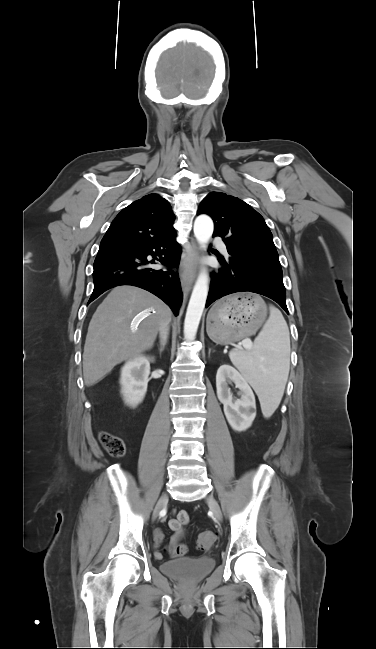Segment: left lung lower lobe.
I'll list each match as a JSON object with an SVG mask.
<instances>
[{
  "instance_id": "obj_1",
  "label": "left lung lower lobe",
  "mask_w": 376,
  "mask_h": 649,
  "mask_svg": "<svg viewBox=\"0 0 376 649\" xmlns=\"http://www.w3.org/2000/svg\"><path fill=\"white\" fill-rule=\"evenodd\" d=\"M224 242L229 257L219 256L222 268L212 275L206 307L226 295L249 291L274 300L289 314L281 266L239 252Z\"/></svg>"
}]
</instances>
